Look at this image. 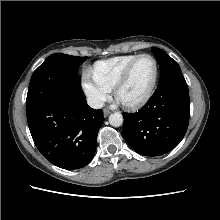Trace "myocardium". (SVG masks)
<instances>
[{
	"label": "myocardium",
	"instance_id": "1",
	"mask_svg": "<svg viewBox=\"0 0 220 220\" xmlns=\"http://www.w3.org/2000/svg\"><path fill=\"white\" fill-rule=\"evenodd\" d=\"M148 57L150 59L153 60L154 65H155V75H154V79L153 82L151 84V87L149 88V90L147 91V93L139 100L137 101H133V102H124L121 101L119 99V91L120 89L127 83V81L129 80L133 69L135 68L136 64L142 59ZM158 78H159V64L158 61L156 60V58L151 55V54H141L138 55L127 67V69L125 70V72L123 73V75L119 78V80L116 82V84L113 87V92H114V96L115 98L121 102L125 107L128 108H139L142 107L143 105H145L152 97V95L154 94V91L156 89L157 86V82H158Z\"/></svg>",
	"mask_w": 220,
	"mask_h": 220
}]
</instances>
